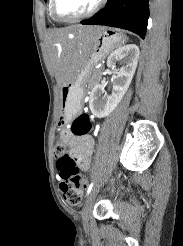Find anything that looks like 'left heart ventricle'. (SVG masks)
<instances>
[{"instance_id":"obj_1","label":"left heart ventricle","mask_w":183,"mask_h":246,"mask_svg":"<svg viewBox=\"0 0 183 246\" xmlns=\"http://www.w3.org/2000/svg\"><path fill=\"white\" fill-rule=\"evenodd\" d=\"M97 0H58L57 11L60 16L74 17L90 10Z\"/></svg>"}]
</instances>
